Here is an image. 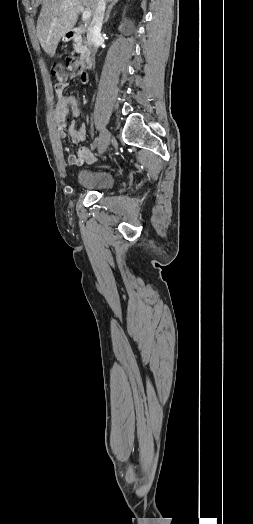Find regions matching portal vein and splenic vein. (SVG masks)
Returning <instances> with one entry per match:
<instances>
[{
  "label": "portal vein and splenic vein",
  "mask_w": 253,
  "mask_h": 524,
  "mask_svg": "<svg viewBox=\"0 0 253 524\" xmlns=\"http://www.w3.org/2000/svg\"><path fill=\"white\" fill-rule=\"evenodd\" d=\"M69 6H76L79 11H82V20L83 21H88L91 17V12L89 9H84V7L80 4V3H77V2H73L69 5H66L65 8L69 7Z\"/></svg>",
  "instance_id": "1"
}]
</instances>
